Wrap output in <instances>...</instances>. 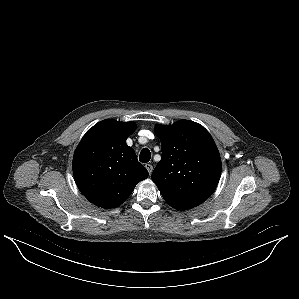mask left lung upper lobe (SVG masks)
Listing matches in <instances>:
<instances>
[{"mask_svg": "<svg viewBox=\"0 0 299 299\" xmlns=\"http://www.w3.org/2000/svg\"><path fill=\"white\" fill-rule=\"evenodd\" d=\"M155 132L162 157L151 178L164 200L180 211L206 201L221 175L220 154L209 132L189 120L157 125Z\"/></svg>", "mask_w": 299, "mask_h": 299, "instance_id": "obj_1", "label": "left lung upper lobe"}]
</instances>
